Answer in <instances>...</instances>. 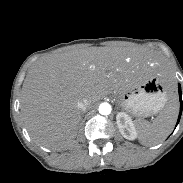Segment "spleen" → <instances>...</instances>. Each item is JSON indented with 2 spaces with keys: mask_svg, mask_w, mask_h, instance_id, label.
I'll list each match as a JSON object with an SVG mask.
<instances>
[{
  "mask_svg": "<svg viewBox=\"0 0 183 183\" xmlns=\"http://www.w3.org/2000/svg\"><path fill=\"white\" fill-rule=\"evenodd\" d=\"M177 116L178 102L176 99H171L152 123L138 120L140 143L145 146H153L164 141L172 132Z\"/></svg>",
  "mask_w": 183,
  "mask_h": 183,
  "instance_id": "3e777b00",
  "label": "spleen"
}]
</instances>
